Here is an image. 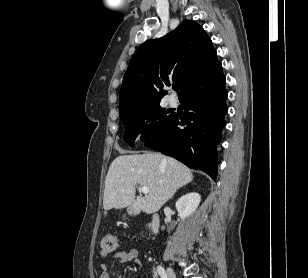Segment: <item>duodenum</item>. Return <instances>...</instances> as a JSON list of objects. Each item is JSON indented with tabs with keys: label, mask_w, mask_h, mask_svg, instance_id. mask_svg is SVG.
<instances>
[{
	"label": "duodenum",
	"mask_w": 308,
	"mask_h": 278,
	"mask_svg": "<svg viewBox=\"0 0 308 278\" xmlns=\"http://www.w3.org/2000/svg\"><path fill=\"white\" fill-rule=\"evenodd\" d=\"M149 226L152 233L154 234L158 233L160 227V218L157 213L152 214Z\"/></svg>",
	"instance_id": "1"
}]
</instances>
